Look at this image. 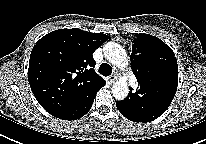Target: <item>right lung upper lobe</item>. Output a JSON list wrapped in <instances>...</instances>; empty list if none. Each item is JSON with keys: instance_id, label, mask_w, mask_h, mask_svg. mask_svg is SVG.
<instances>
[{"instance_id": "right-lung-upper-lobe-1", "label": "right lung upper lobe", "mask_w": 206, "mask_h": 144, "mask_svg": "<svg viewBox=\"0 0 206 144\" xmlns=\"http://www.w3.org/2000/svg\"><path fill=\"white\" fill-rule=\"evenodd\" d=\"M108 36L81 29H60L34 45L28 80L39 104L57 116L82 102L104 82L96 74L93 52Z\"/></svg>"}]
</instances>
